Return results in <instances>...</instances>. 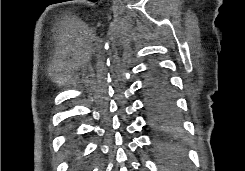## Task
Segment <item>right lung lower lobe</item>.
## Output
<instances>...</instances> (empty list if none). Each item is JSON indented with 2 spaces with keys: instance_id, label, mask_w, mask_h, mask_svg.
Instances as JSON below:
<instances>
[{
  "instance_id": "right-lung-lower-lobe-1",
  "label": "right lung lower lobe",
  "mask_w": 245,
  "mask_h": 171,
  "mask_svg": "<svg viewBox=\"0 0 245 171\" xmlns=\"http://www.w3.org/2000/svg\"><path fill=\"white\" fill-rule=\"evenodd\" d=\"M68 128L70 129L71 128V125H68ZM70 143L73 145V144H75V142H74V139L73 138H71L70 139Z\"/></svg>"
}]
</instances>
